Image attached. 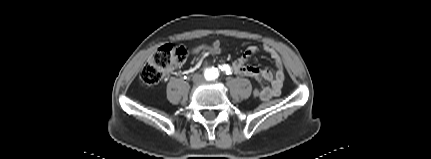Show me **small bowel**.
<instances>
[{
	"instance_id": "1",
	"label": "small bowel",
	"mask_w": 431,
	"mask_h": 159,
	"mask_svg": "<svg viewBox=\"0 0 431 159\" xmlns=\"http://www.w3.org/2000/svg\"><path fill=\"white\" fill-rule=\"evenodd\" d=\"M210 48H222L221 42L215 40L210 44H201L192 49L193 54L206 52ZM263 50L270 55L276 65L275 72L269 69H259L249 64L251 58L258 52L256 46H248L243 54L236 59L230 66V71L240 76H247L256 79L259 82H268V86H261V94L256 96L261 100L267 101L273 97L279 96L284 84L285 74L283 69V63L280 55L270 45L265 44Z\"/></svg>"
}]
</instances>
